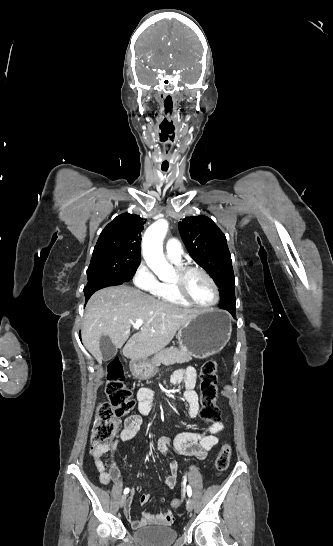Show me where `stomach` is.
<instances>
[{"label":"stomach","mask_w":333,"mask_h":546,"mask_svg":"<svg viewBox=\"0 0 333 546\" xmlns=\"http://www.w3.org/2000/svg\"><path fill=\"white\" fill-rule=\"evenodd\" d=\"M232 332L230 317L219 309L201 311L194 319L180 327L177 339L185 352L197 359L208 358L221 351L229 342ZM148 359H132L130 370L138 379L153 377L158 369Z\"/></svg>","instance_id":"0dacf381"}]
</instances>
